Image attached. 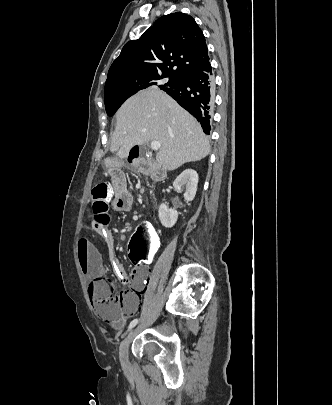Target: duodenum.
Returning <instances> with one entry per match:
<instances>
[{"mask_svg":"<svg viewBox=\"0 0 332 405\" xmlns=\"http://www.w3.org/2000/svg\"><path fill=\"white\" fill-rule=\"evenodd\" d=\"M141 157V153L139 150H131L128 156V162L129 163H134L136 160H138ZM150 177L153 181L155 182H161L165 179L164 174L161 172L157 171L156 169H152L150 171Z\"/></svg>","mask_w":332,"mask_h":405,"instance_id":"obj_1","label":"duodenum"}]
</instances>
